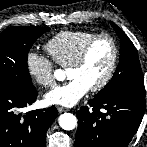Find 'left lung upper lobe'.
<instances>
[{
    "instance_id": "obj_1",
    "label": "left lung upper lobe",
    "mask_w": 147,
    "mask_h": 147,
    "mask_svg": "<svg viewBox=\"0 0 147 147\" xmlns=\"http://www.w3.org/2000/svg\"><path fill=\"white\" fill-rule=\"evenodd\" d=\"M110 23L121 40L119 64L110 82L95 97L109 98L119 94L145 97L144 78L137 50L128 36L115 23Z\"/></svg>"
}]
</instances>
